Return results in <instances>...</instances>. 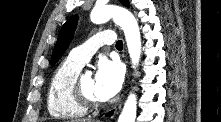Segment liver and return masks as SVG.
Instances as JSON below:
<instances>
[{"label":"liver","mask_w":221,"mask_h":122,"mask_svg":"<svg viewBox=\"0 0 221 122\" xmlns=\"http://www.w3.org/2000/svg\"><path fill=\"white\" fill-rule=\"evenodd\" d=\"M72 122H95V121H92L91 119H78Z\"/></svg>","instance_id":"6515ba94"}]
</instances>
